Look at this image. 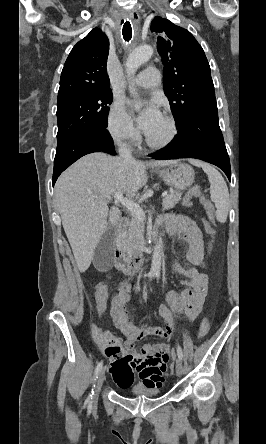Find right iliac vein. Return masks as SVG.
Segmentation results:
<instances>
[{"label": "right iliac vein", "instance_id": "63e3f726", "mask_svg": "<svg viewBox=\"0 0 266 444\" xmlns=\"http://www.w3.org/2000/svg\"><path fill=\"white\" fill-rule=\"evenodd\" d=\"M105 380V371L102 370L99 375H98V379L96 382V387H95V396H97L101 390V387L103 385V382Z\"/></svg>", "mask_w": 266, "mask_h": 444}]
</instances>
